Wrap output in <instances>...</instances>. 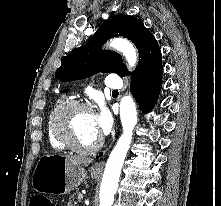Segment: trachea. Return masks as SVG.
Instances as JSON below:
<instances>
[{"instance_id":"obj_1","label":"trachea","mask_w":221,"mask_h":206,"mask_svg":"<svg viewBox=\"0 0 221 206\" xmlns=\"http://www.w3.org/2000/svg\"><path fill=\"white\" fill-rule=\"evenodd\" d=\"M113 93H118V91H117V90H114Z\"/></svg>"}]
</instances>
